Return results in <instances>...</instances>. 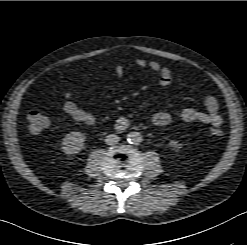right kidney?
<instances>
[{
  "label": "right kidney",
  "mask_w": 247,
  "mask_h": 245,
  "mask_svg": "<svg viewBox=\"0 0 247 245\" xmlns=\"http://www.w3.org/2000/svg\"><path fill=\"white\" fill-rule=\"evenodd\" d=\"M86 136L82 132L68 133L62 141V150L65 154L73 155L79 153L83 147Z\"/></svg>",
  "instance_id": "obj_1"
}]
</instances>
